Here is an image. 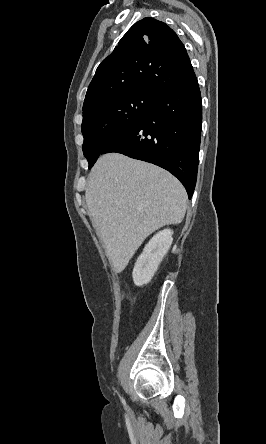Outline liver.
Masks as SVG:
<instances>
[{"label":"liver","mask_w":266,"mask_h":444,"mask_svg":"<svg viewBox=\"0 0 266 444\" xmlns=\"http://www.w3.org/2000/svg\"><path fill=\"white\" fill-rule=\"evenodd\" d=\"M85 197L115 273L126 268L151 233L181 223L187 208L186 191L173 175L119 153L98 159Z\"/></svg>","instance_id":"obj_1"}]
</instances>
